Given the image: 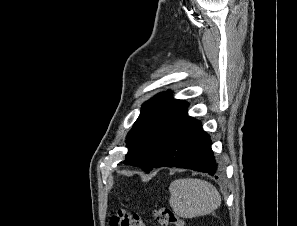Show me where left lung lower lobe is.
I'll return each instance as SVG.
<instances>
[{"label": "left lung lower lobe", "instance_id": "1", "mask_svg": "<svg viewBox=\"0 0 297 226\" xmlns=\"http://www.w3.org/2000/svg\"><path fill=\"white\" fill-rule=\"evenodd\" d=\"M157 167H177L205 172L218 178L220 170L217 167L210 136L206 134L200 121L188 117L180 127L174 141L161 159Z\"/></svg>", "mask_w": 297, "mask_h": 226}]
</instances>
